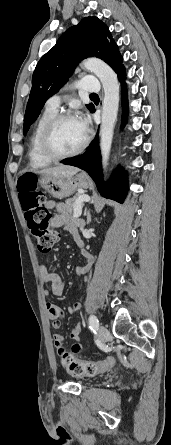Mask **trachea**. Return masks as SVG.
Here are the masks:
<instances>
[{"instance_id":"trachea-1","label":"trachea","mask_w":171,"mask_h":445,"mask_svg":"<svg viewBox=\"0 0 171 445\" xmlns=\"http://www.w3.org/2000/svg\"><path fill=\"white\" fill-rule=\"evenodd\" d=\"M90 96H91V97H98V95L95 94V93L90 94Z\"/></svg>"}]
</instances>
